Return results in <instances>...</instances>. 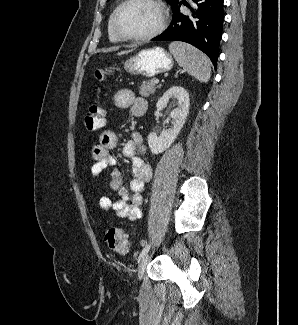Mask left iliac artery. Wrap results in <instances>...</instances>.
<instances>
[{
	"mask_svg": "<svg viewBox=\"0 0 298 325\" xmlns=\"http://www.w3.org/2000/svg\"><path fill=\"white\" fill-rule=\"evenodd\" d=\"M150 249V244L146 245L143 250L141 251V253L139 254L138 257V263L145 257V255L148 253Z\"/></svg>",
	"mask_w": 298,
	"mask_h": 325,
	"instance_id": "44dca946",
	"label": "left iliac artery"
}]
</instances>
